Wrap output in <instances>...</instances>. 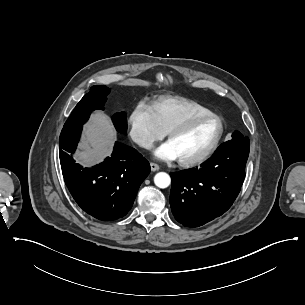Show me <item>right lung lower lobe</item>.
I'll list each match as a JSON object with an SVG mask.
<instances>
[{"label": "right lung lower lobe", "instance_id": "obj_1", "mask_svg": "<svg viewBox=\"0 0 305 305\" xmlns=\"http://www.w3.org/2000/svg\"><path fill=\"white\" fill-rule=\"evenodd\" d=\"M81 130L82 126L63 128L60 135L65 184L89 215L103 221L122 218L131 209L141 183L150 173V165L135 149L116 142L111 157L92 168H83L71 156Z\"/></svg>", "mask_w": 305, "mask_h": 305}]
</instances>
